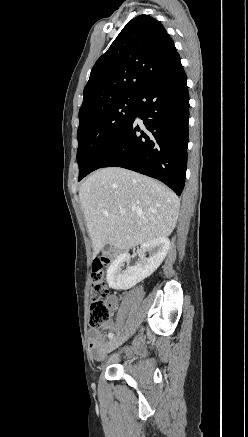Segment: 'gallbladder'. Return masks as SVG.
I'll list each match as a JSON object with an SVG mask.
<instances>
[{
  "label": "gallbladder",
  "instance_id": "1",
  "mask_svg": "<svg viewBox=\"0 0 248 437\" xmlns=\"http://www.w3.org/2000/svg\"><path fill=\"white\" fill-rule=\"evenodd\" d=\"M111 249H112L111 245L107 244V245L103 248L102 252H103L104 254H108V253L111 251Z\"/></svg>",
  "mask_w": 248,
  "mask_h": 437
}]
</instances>
